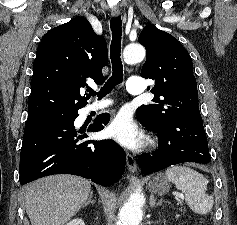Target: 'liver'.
<instances>
[{
	"instance_id": "1",
	"label": "liver",
	"mask_w": 237,
	"mask_h": 225,
	"mask_svg": "<svg viewBox=\"0 0 237 225\" xmlns=\"http://www.w3.org/2000/svg\"><path fill=\"white\" fill-rule=\"evenodd\" d=\"M90 181L71 175H53L24 187L26 213L31 225H63L86 203Z\"/></svg>"
}]
</instances>
